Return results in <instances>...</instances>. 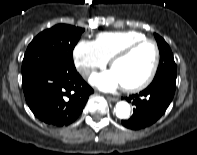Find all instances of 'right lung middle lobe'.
Listing matches in <instances>:
<instances>
[{
	"label": "right lung middle lobe",
	"instance_id": "1",
	"mask_svg": "<svg viewBox=\"0 0 197 155\" xmlns=\"http://www.w3.org/2000/svg\"><path fill=\"white\" fill-rule=\"evenodd\" d=\"M83 31V28L58 24L38 34L24 55L22 80L32 78L46 68L74 66L72 52Z\"/></svg>",
	"mask_w": 197,
	"mask_h": 155
}]
</instances>
